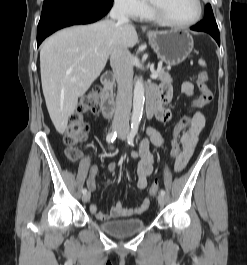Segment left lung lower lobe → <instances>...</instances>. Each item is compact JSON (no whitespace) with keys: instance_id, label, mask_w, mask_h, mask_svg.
Returning a JSON list of instances; mask_svg holds the SVG:
<instances>
[{"instance_id":"0a47b994","label":"left lung lower lobe","mask_w":247,"mask_h":265,"mask_svg":"<svg viewBox=\"0 0 247 265\" xmlns=\"http://www.w3.org/2000/svg\"><path fill=\"white\" fill-rule=\"evenodd\" d=\"M191 29L194 31H203L209 33L217 41L218 45H220L218 27L214 19L213 11L209 4L206 6L204 19L195 26L191 27Z\"/></svg>"}]
</instances>
